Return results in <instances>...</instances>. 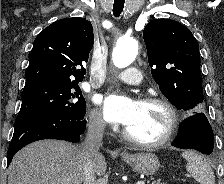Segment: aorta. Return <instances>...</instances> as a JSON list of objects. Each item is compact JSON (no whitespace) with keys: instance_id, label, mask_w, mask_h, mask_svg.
<instances>
[{"instance_id":"1","label":"aorta","mask_w":224,"mask_h":184,"mask_svg":"<svg viewBox=\"0 0 224 184\" xmlns=\"http://www.w3.org/2000/svg\"><path fill=\"white\" fill-rule=\"evenodd\" d=\"M138 54V42L133 38H121L112 53V60L117 68L129 66Z\"/></svg>"}]
</instances>
